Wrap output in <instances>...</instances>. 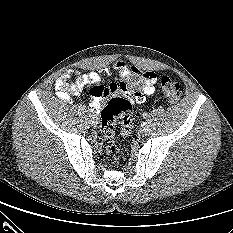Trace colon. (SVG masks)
<instances>
[{
    "mask_svg": "<svg viewBox=\"0 0 233 233\" xmlns=\"http://www.w3.org/2000/svg\"><path fill=\"white\" fill-rule=\"evenodd\" d=\"M146 78V74L136 68L131 69L129 92L137 97L140 95L141 86ZM160 87L165 98L170 103L179 101L182 95V88L179 83L167 76L160 79ZM131 101L127 95L115 96L102 109L100 116V137L105 143L106 152L117 157L120 154V146L115 141V124L122 126L124 135L131 132L130 122Z\"/></svg>",
    "mask_w": 233,
    "mask_h": 233,
    "instance_id": "5ec220e1",
    "label": "colon"
}]
</instances>
